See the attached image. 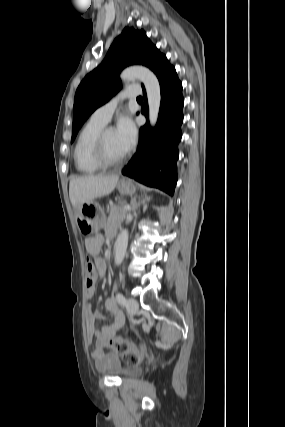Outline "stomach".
<instances>
[{"mask_svg": "<svg viewBox=\"0 0 285 427\" xmlns=\"http://www.w3.org/2000/svg\"><path fill=\"white\" fill-rule=\"evenodd\" d=\"M117 188L121 194L133 195L137 190V186L131 180H120ZM104 223V217L101 208L97 203L91 202L83 204L77 209V225L80 231L84 234H92L96 232Z\"/></svg>", "mask_w": 285, "mask_h": 427, "instance_id": "1", "label": "stomach"}]
</instances>
